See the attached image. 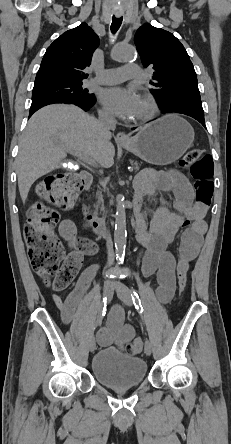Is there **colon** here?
Returning <instances> with one entry per match:
<instances>
[{
    "mask_svg": "<svg viewBox=\"0 0 231 444\" xmlns=\"http://www.w3.org/2000/svg\"><path fill=\"white\" fill-rule=\"evenodd\" d=\"M179 165L187 170L193 180L196 201L209 205L213 194V162L203 149L193 148L181 158ZM79 175L60 173L49 175L38 186L37 193L45 204L34 206L31 216L24 226V239L33 270L56 291L67 288L75 278L82 254L71 251L65 254L64 247L55 234L59 214L55 208H70L83 188ZM186 272L178 273V288H186ZM133 352H139L142 343L139 339L130 344Z\"/></svg>",
    "mask_w": 231,
    "mask_h": 444,
    "instance_id": "1",
    "label": "colon"
}]
</instances>
